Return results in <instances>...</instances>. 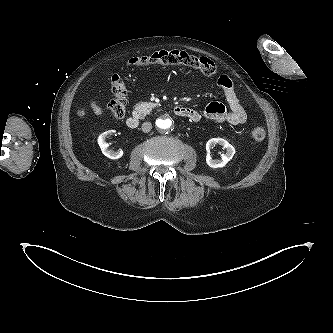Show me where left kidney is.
<instances>
[{
  "label": "left kidney",
  "mask_w": 333,
  "mask_h": 333,
  "mask_svg": "<svg viewBox=\"0 0 333 333\" xmlns=\"http://www.w3.org/2000/svg\"><path fill=\"white\" fill-rule=\"evenodd\" d=\"M215 144H219L224 149H226V153L221 155L220 160L212 159L210 156V148ZM206 150H207L206 163L211 168L224 167L233 158L235 154V148L228 141L222 138H212L208 140V142L206 143Z\"/></svg>",
  "instance_id": "left-kidney-1"
}]
</instances>
